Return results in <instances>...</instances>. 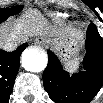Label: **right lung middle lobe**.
<instances>
[{
	"mask_svg": "<svg viewBox=\"0 0 103 103\" xmlns=\"http://www.w3.org/2000/svg\"><path fill=\"white\" fill-rule=\"evenodd\" d=\"M22 10V6H16L13 8H1L0 20H6L9 16L16 15Z\"/></svg>",
	"mask_w": 103,
	"mask_h": 103,
	"instance_id": "obj_1",
	"label": "right lung middle lobe"
}]
</instances>
